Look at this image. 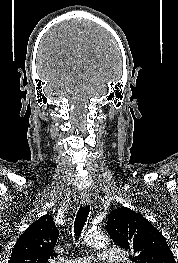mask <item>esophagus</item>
<instances>
[{
  "label": "esophagus",
  "instance_id": "34e87169",
  "mask_svg": "<svg viewBox=\"0 0 178 263\" xmlns=\"http://www.w3.org/2000/svg\"><path fill=\"white\" fill-rule=\"evenodd\" d=\"M80 203L82 206H88L91 203V198L88 195L80 197Z\"/></svg>",
  "mask_w": 178,
  "mask_h": 263
}]
</instances>
